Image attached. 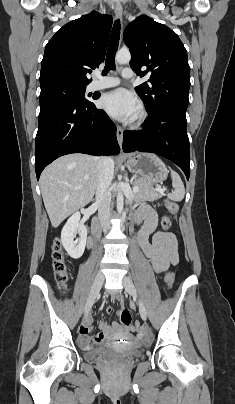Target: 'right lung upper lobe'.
<instances>
[{
	"instance_id": "obj_1",
	"label": "right lung upper lobe",
	"mask_w": 235,
	"mask_h": 404,
	"mask_svg": "<svg viewBox=\"0 0 235 404\" xmlns=\"http://www.w3.org/2000/svg\"><path fill=\"white\" fill-rule=\"evenodd\" d=\"M112 17L93 11L64 25L45 47L40 85L67 82L88 85L86 74L103 62Z\"/></svg>"
}]
</instances>
